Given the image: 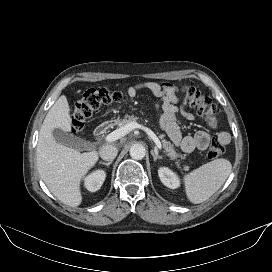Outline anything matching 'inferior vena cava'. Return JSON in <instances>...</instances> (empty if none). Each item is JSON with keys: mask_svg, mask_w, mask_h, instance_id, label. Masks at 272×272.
Returning a JSON list of instances; mask_svg holds the SVG:
<instances>
[{"mask_svg": "<svg viewBox=\"0 0 272 272\" xmlns=\"http://www.w3.org/2000/svg\"><path fill=\"white\" fill-rule=\"evenodd\" d=\"M118 149L111 144L103 145L100 148L99 154L103 160L112 161L117 156Z\"/></svg>", "mask_w": 272, "mask_h": 272, "instance_id": "1", "label": "inferior vena cava"}]
</instances>
